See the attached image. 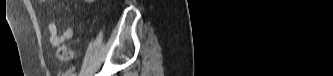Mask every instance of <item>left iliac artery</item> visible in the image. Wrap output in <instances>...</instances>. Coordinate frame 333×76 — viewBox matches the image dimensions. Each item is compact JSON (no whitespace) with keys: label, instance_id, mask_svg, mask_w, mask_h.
Wrapping results in <instances>:
<instances>
[{"label":"left iliac artery","instance_id":"obj_1","mask_svg":"<svg viewBox=\"0 0 333 76\" xmlns=\"http://www.w3.org/2000/svg\"><path fill=\"white\" fill-rule=\"evenodd\" d=\"M71 76H76V74H71Z\"/></svg>","mask_w":333,"mask_h":76}]
</instances>
